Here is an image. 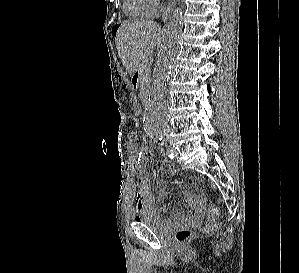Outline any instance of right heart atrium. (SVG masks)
<instances>
[{
  "mask_svg": "<svg viewBox=\"0 0 299 273\" xmlns=\"http://www.w3.org/2000/svg\"><path fill=\"white\" fill-rule=\"evenodd\" d=\"M149 6L153 8L154 10L158 8L160 4V0H147Z\"/></svg>",
  "mask_w": 299,
  "mask_h": 273,
  "instance_id": "obj_1",
  "label": "right heart atrium"
}]
</instances>
